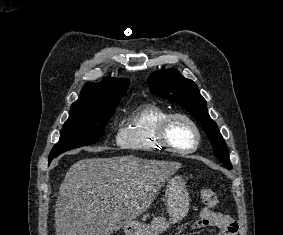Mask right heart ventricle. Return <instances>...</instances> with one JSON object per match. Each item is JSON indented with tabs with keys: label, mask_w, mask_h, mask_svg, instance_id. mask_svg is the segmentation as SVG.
<instances>
[{
	"label": "right heart ventricle",
	"mask_w": 283,
	"mask_h": 235,
	"mask_svg": "<svg viewBox=\"0 0 283 235\" xmlns=\"http://www.w3.org/2000/svg\"><path fill=\"white\" fill-rule=\"evenodd\" d=\"M169 111L157 103L138 106L121 127L117 141L126 149L135 151H156L163 148L157 139V128Z\"/></svg>",
	"instance_id": "right-heart-ventricle-1"
}]
</instances>
